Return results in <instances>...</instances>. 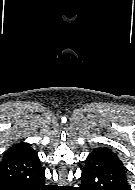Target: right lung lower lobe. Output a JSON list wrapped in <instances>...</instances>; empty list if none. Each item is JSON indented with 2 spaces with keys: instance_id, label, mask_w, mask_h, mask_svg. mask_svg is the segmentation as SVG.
<instances>
[{
  "instance_id": "1",
  "label": "right lung lower lobe",
  "mask_w": 135,
  "mask_h": 190,
  "mask_svg": "<svg viewBox=\"0 0 135 190\" xmlns=\"http://www.w3.org/2000/svg\"><path fill=\"white\" fill-rule=\"evenodd\" d=\"M36 154L3 158L0 163V190H49Z\"/></svg>"
}]
</instances>
